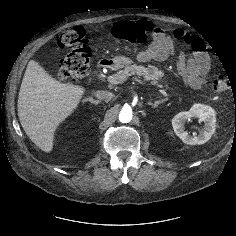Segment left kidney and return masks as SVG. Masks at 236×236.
Masks as SVG:
<instances>
[{
	"label": "left kidney",
	"mask_w": 236,
	"mask_h": 236,
	"mask_svg": "<svg viewBox=\"0 0 236 236\" xmlns=\"http://www.w3.org/2000/svg\"><path fill=\"white\" fill-rule=\"evenodd\" d=\"M191 118H197L204 122V129L199 135H190L185 131V123ZM172 126L175 134L185 143L189 145L205 144L215 132L216 114L212 107L200 103L194 104L187 112H180L172 119Z\"/></svg>",
	"instance_id": "left-kidney-1"
}]
</instances>
